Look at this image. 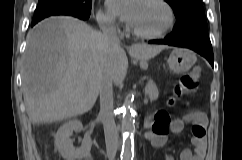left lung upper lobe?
Returning <instances> with one entry per match:
<instances>
[{
    "label": "left lung upper lobe",
    "instance_id": "obj_1",
    "mask_svg": "<svg viewBox=\"0 0 242 160\" xmlns=\"http://www.w3.org/2000/svg\"><path fill=\"white\" fill-rule=\"evenodd\" d=\"M172 7L176 25L169 34L179 38L193 32H208L202 0H165Z\"/></svg>",
    "mask_w": 242,
    "mask_h": 160
}]
</instances>
